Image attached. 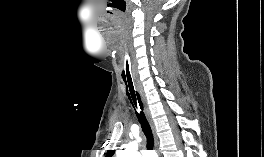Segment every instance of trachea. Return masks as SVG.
<instances>
[{
    "instance_id": "trachea-1",
    "label": "trachea",
    "mask_w": 264,
    "mask_h": 157,
    "mask_svg": "<svg viewBox=\"0 0 264 157\" xmlns=\"http://www.w3.org/2000/svg\"><path fill=\"white\" fill-rule=\"evenodd\" d=\"M121 75H122L124 84L126 86V94L128 96V99L130 100L131 104L136 110L137 118L141 124L142 131L146 137L147 149L153 150V147H154L153 134H152L150 125L143 112V104H142L140 95L135 89L130 54L126 49L123 52V65H122Z\"/></svg>"
}]
</instances>
